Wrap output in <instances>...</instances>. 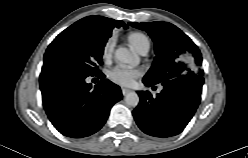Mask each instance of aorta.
<instances>
[{"label":"aorta","instance_id":"1","mask_svg":"<svg viewBox=\"0 0 248 158\" xmlns=\"http://www.w3.org/2000/svg\"><path fill=\"white\" fill-rule=\"evenodd\" d=\"M116 59L124 64L137 65L138 56L127 48L120 47L115 51ZM125 102L130 107H136L139 103V96L136 92H129L125 96Z\"/></svg>","mask_w":248,"mask_h":158}]
</instances>
